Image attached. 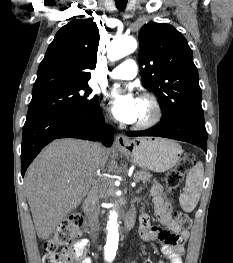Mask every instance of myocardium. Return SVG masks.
<instances>
[{
    "mask_svg": "<svg viewBox=\"0 0 233 263\" xmlns=\"http://www.w3.org/2000/svg\"><path fill=\"white\" fill-rule=\"evenodd\" d=\"M140 98L145 101L151 109L150 114L146 118L137 121L134 125L136 129L143 130L155 126L161 120L163 109L161 103L153 94L144 93Z\"/></svg>",
    "mask_w": 233,
    "mask_h": 263,
    "instance_id": "myocardium-1",
    "label": "myocardium"
}]
</instances>
